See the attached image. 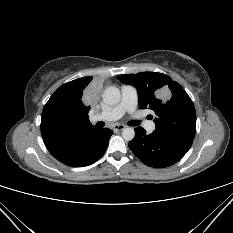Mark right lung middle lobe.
Wrapping results in <instances>:
<instances>
[{
	"mask_svg": "<svg viewBox=\"0 0 233 233\" xmlns=\"http://www.w3.org/2000/svg\"><path fill=\"white\" fill-rule=\"evenodd\" d=\"M73 118L72 104L60 95L53 94L43 109L41 125L48 130H54L69 125Z\"/></svg>",
	"mask_w": 233,
	"mask_h": 233,
	"instance_id": "right-lung-middle-lobe-1",
	"label": "right lung middle lobe"
}]
</instances>
